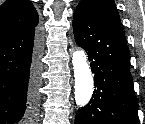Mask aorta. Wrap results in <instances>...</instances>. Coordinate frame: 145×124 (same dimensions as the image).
I'll return each mask as SVG.
<instances>
[{
  "label": "aorta",
  "mask_w": 145,
  "mask_h": 124,
  "mask_svg": "<svg viewBox=\"0 0 145 124\" xmlns=\"http://www.w3.org/2000/svg\"><path fill=\"white\" fill-rule=\"evenodd\" d=\"M75 77V101L80 107L87 105L94 90V79L85 53L76 50L72 58Z\"/></svg>",
  "instance_id": "1"
}]
</instances>
